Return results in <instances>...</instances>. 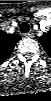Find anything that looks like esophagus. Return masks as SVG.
<instances>
[{"mask_svg": "<svg viewBox=\"0 0 51 101\" xmlns=\"http://www.w3.org/2000/svg\"><path fill=\"white\" fill-rule=\"evenodd\" d=\"M33 35H34V33H33L32 31H30V32L26 33L24 36H25L26 38H32Z\"/></svg>", "mask_w": 51, "mask_h": 101, "instance_id": "obj_1", "label": "esophagus"}]
</instances>
